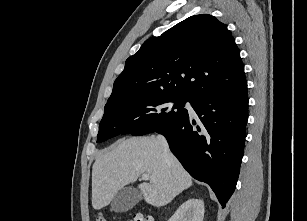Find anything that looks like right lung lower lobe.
Returning a JSON list of instances; mask_svg holds the SVG:
<instances>
[{"mask_svg":"<svg viewBox=\"0 0 307 221\" xmlns=\"http://www.w3.org/2000/svg\"><path fill=\"white\" fill-rule=\"evenodd\" d=\"M190 115L156 132L192 177L207 183L224 208L235 190L244 154L248 120L247 84L240 89L191 102Z\"/></svg>","mask_w":307,"mask_h":221,"instance_id":"98d812e1","label":"right lung lower lobe"}]
</instances>
